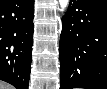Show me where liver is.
I'll return each instance as SVG.
<instances>
[{
  "instance_id": "obj_1",
  "label": "liver",
  "mask_w": 107,
  "mask_h": 89,
  "mask_svg": "<svg viewBox=\"0 0 107 89\" xmlns=\"http://www.w3.org/2000/svg\"><path fill=\"white\" fill-rule=\"evenodd\" d=\"M0 89H13L11 85H7L5 83H1Z\"/></svg>"
}]
</instances>
